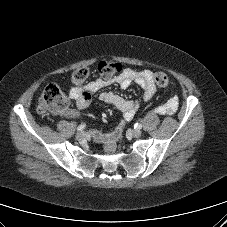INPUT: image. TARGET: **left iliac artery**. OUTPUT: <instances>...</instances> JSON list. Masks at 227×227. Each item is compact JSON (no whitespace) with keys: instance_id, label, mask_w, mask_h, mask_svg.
<instances>
[{"instance_id":"obj_1","label":"left iliac artery","mask_w":227,"mask_h":227,"mask_svg":"<svg viewBox=\"0 0 227 227\" xmlns=\"http://www.w3.org/2000/svg\"><path fill=\"white\" fill-rule=\"evenodd\" d=\"M135 128H137V129H141V128H142V124H140V123H136V124H135Z\"/></svg>"}]
</instances>
